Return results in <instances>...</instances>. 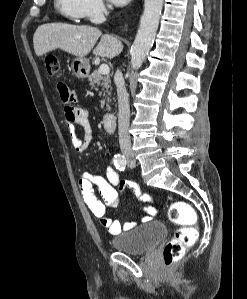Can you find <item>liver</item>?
Masks as SVG:
<instances>
[{
  "label": "liver",
  "instance_id": "1",
  "mask_svg": "<svg viewBox=\"0 0 247 299\" xmlns=\"http://www.w3.org/2000/svg\"><path fill=\"white\" fill-rule=\"evenodd\" d=\"M101 37V38H100ZM93 54L112 59L123 50V44L116 37L104 34L93 26L48 23L37 28L33 37L34 50L42 56L56 49H61L76 57L86 56L95 46Z\"/></svg>",
  "mask_w": 247,
  "mask_h": 299
}]
</instances>
